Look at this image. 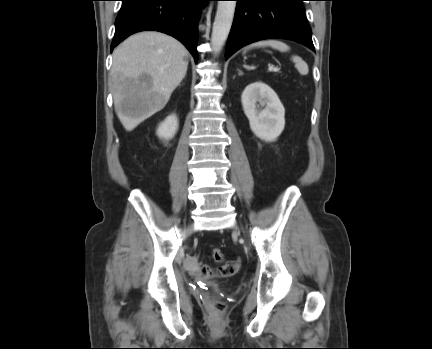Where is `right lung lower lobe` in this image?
Instances as JSON below:
<instances>
[{
  "mask_svg": "<svg viewBox=\"0 0 432 349\" xmlns=\"http://www.w3.org/2000/svg\"><path fill=\"white\" fill-rule=\"evenodd\" d=\"M115 21L111 52L121 41L139 31L155 30L181 41L197 62L200 10L211 0H121Z\"/></svg>",
  "mask_w": 432,
  "mask_h": 349,
  "instance_id": "right-lung-lower-lobe-1",
  "label": "right lung lower lobe"
}]
</instances>
